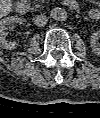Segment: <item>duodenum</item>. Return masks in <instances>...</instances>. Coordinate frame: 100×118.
I'll list each match as a JSON object with an SVG mask.
<instances>
[{
  "mask_svg": "<svg viewBox=\"0 0 100 118\" xmlns=\"http://www.w3.org/2000/svg\"><path fill=\"white\" fill-rule=\"evenodd\" d=\"M66 5L70 9H77L78 4L75 0H66ZM15 10L19 15H24L28 12V4L25 0H18L15 4Z\"/></svg>",
  "mask_w": 100,
  "mask_h": 118,
  "instance_id": "duodenum-1",
  "label": "duodenum"
}]
</instances>
